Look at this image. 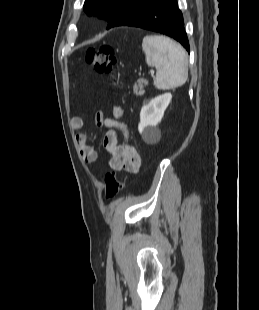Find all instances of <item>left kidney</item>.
Masks as SVG:
<instances>
[{"label": "left kidney", "instance_id": "5707ae66", "mask_svg": "<svg viewBox=\"0 0 259 310\" xmlns=\"http://www.w3.org/2000/svg\"><path fill=\"white\" fill-rule=\"evenodd\" d=\"M171 99V93H164L142 107L138 130L146 141H148L149 132L161 122Z\"/></svg>", "mask_w": 259, "mask_h": 310}]
</instances>
